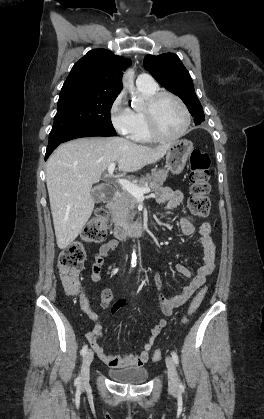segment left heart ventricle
I'll return each mask as SVG.
<instances>
[{"instance_id":"b2bd125f","label":"left heart ventricle","mask_w":264,"mask_h":419,"mask_svg":"<svg viewBox=\"0 0 264 419\" xmlns=\"http://www.w3.org/2000/svg\"><path fill=\"white\" fill-rule=\"evenodd\" d=\"M157 119L161 132L166 136L178 134L184 125V114L178 103L170 98L163 97L157 107Z\"/></svg>"}]
</instances>
